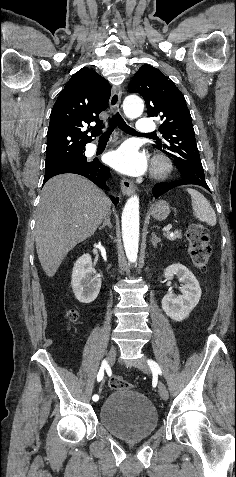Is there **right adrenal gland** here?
Here are the masks:
<instances>
[{
  "label": "right adrenal gland",
  "mask_w": 236,
  "mask_h": 477,
  "mask_svg": "<svg viewBox=\"0 0 236 477\" xmlns=\"http://www.w3.org/2000/svg\"><path fill=\"white\" fill-rule=\"evenodd\" d=\"M110 216H111V214L109 213V214L106 216V218H105L104 222L102 223V225L99 227V230L104 229L106 226H108L109 228H112V224H111V222H110Z\"/></svg>",
  "instance_id": "obj_1"
}]
</instances>
